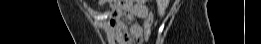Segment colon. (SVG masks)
I'll use <instances>...</instances> for the list:
<instances>
[{"label": "colon", "mask_w": 261, "mask_h": 44, "mask_svg": "<svg viewBox=\"0 0 261 44\" xmlns=\"http://www.w3.org/2000/svg\"><path fill=\"white\" fill-rule=\"evenodd\" d=\"M103 3L111 4L112 6H136V1H119V0H105L102 1ZM147 2V1H144ZM152 24H153V14L149 13L144 25H143V32H142V38L141 41H147L151 35L152 32Z\"/></svg>", "instance_id": "1"}]
</instances>
